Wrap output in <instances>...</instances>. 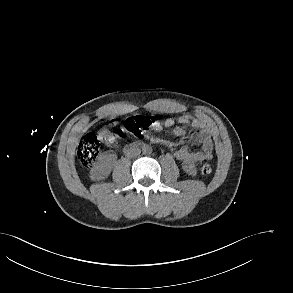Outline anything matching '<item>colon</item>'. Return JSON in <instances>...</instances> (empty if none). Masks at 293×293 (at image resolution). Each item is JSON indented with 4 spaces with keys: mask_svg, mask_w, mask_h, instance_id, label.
Instances as JSON below:
<instances>
[{
    "mask_svg": "<svg viewBox=\"0 0 293 293\" xmlns=\"http://www.w3.org/2000/svg\"><path fill=\"white\" fill-rule=\"evenodd\" d=\"M159 124L154 116L136 115L124 121L123 127L112 132L115 122L108 124V127L98 134H87L79 145L78 157L82 164L91 166L98 158L101 148L104 145H117L121 141L139 137L144 132L155 128ZM212 166L205 164L201 167L203 175H209Z\"/></svg>",
    "mask_w": 293,
    "mask_h": 293,
    "instance_id": "obj_1",
    "label": "colon"
}]
</instances>
